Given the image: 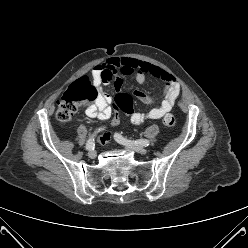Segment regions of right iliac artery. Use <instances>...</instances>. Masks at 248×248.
Here are the masks:
<instances>
[{"label": "right iliac artery", "mask_w": 248, "mask_h": 248, "mask_svg": "<svg viewBox=\"0 0 248 248\" xmlns=\"http://www.w3.org/2000/svg\"><path fill=\"white\" fill-rule=\"evenodd\" d=\"M101 129H98V132L100 131ZM94 137H90L89 140L87 141L86 143V150H93L94 149Z\"/></svg>", "instance_id": "obj_1"}]
</instances>
